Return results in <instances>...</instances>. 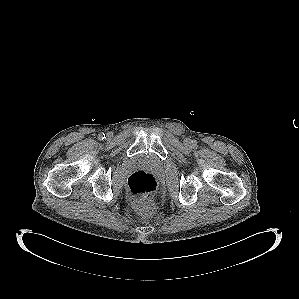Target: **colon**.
Masks as SVG:
<instances>
[{"mask_svg":"<svg viewBox=\"0 0 299 299\" xmlns=\"http://www.w3.org/2000/svg\"><path fill=\"white\" fill-rule=\"evenodd\" d=\"M158 187L156 177L147 171H136L127 180V189L137 207L149 210L152 207V194Z\"/></svg>","mask_w":299,"mask_h":299,"instance_id":"obj_1","label":"colon"}]
</instances>
